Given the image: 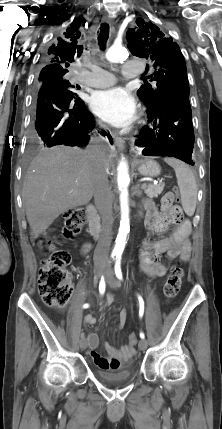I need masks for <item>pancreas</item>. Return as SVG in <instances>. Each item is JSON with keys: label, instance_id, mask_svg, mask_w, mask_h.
Segmentation results:
<instances>
[{"label": "pancreas", "instance_id": "pancreas-1", "mask_svg": "<svg viewBox=\"0 0 222 429\" xmlns=\"http://www.w3.org/2000/svg\"><path fill=\"white\" fill-rule=\"evenodd\" d=\"M163 189H164V185L162 184H158V185L148 184L145 188V193L150 198H156L158 197V195L162 193Z\"/></svg>", "mask_w": 222, "mask_h": 429}]
</instances>
